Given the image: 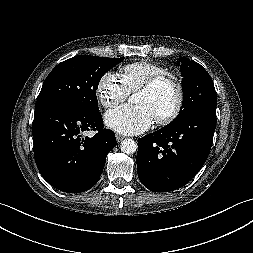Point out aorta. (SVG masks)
Wrapping results in <instances>:
<instances>
[{"label":"aorta","instance_id":"1","mask_svg":"<svg viewBox=\"0 0 253 253\" xmlns=\"http://www.w3.org/2000/svg\"><path fill=\"white\" fill-rule=\"evenodd\" d=\"M120 149L123 153L133 154L137 150V143L133 139L126 138L121 142Z\"/></svg>","mask_w":253,"mask_h":253}]
</instances>
